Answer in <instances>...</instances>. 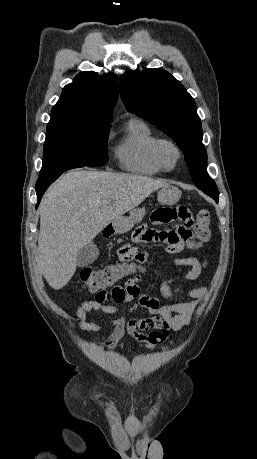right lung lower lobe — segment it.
<instances>
[{
    "label": "right lung lower lobe",
    "instance_id": "1",
    "mask_svg": "<svg viewBox=\"0 0 257 459\" xmlns=\"http://www.w3.org/2000/svg\"><path fill=\"white\" fill-rule=\"evenodd\" d=\"M66 170H69V169L63 168V169H60L52 173H40L39 174V179L37 180V183H36V193H37V198H38L37 206L39 205L41 197L43 196L44 192L49 187V185L53 183Z\"/></svg>",
    "mask_w": 257,
    "mask_h": 459
}]
</instances>
